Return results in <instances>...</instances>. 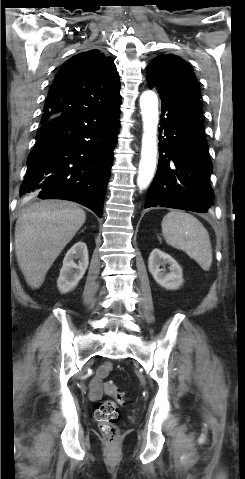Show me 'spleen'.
Here are the masks:
<instances>
[{"label": "spleen", "instance_id": "obj_1", "mask_svg": "<svg viewBox=\"0 0 245 479\" xmlns=\"http://www.w3.org/2000/svg\"><path fill=\"white\" fill-rule=\"evenodd\" d=\"M162 233L166 243L184 251L200 267L208 271L212 264V247L207 230L193 215L171 211L162 220Z\"/></svg>", "mask_w": 245, "mask_h": 479}]
</instances>
